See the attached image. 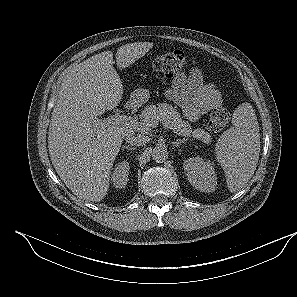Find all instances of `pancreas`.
I'll use <instances>...</instances> for the list:
<instances>
[{
  "label": "pancreas",
  "mask_w": 297,
  "mask_h": 297,
  "mask_svg": "<svg viewBox=\"0 0 297 297\" xmlns=\"http://www.w3.org/2000/svg\"><path fill=\"white\" fill-rule=\"evenodd\" d=\"M141 122L150 124L146 130L156 127L159 122L167 125L177 135L184 137H193L209 143L211 136L203 129H193L188 121L182 120L180 113L171 105L159 103L157 105L147 106L141 114Z\"/></svg>",
  "instance_id": "1"
}]
</instances>
